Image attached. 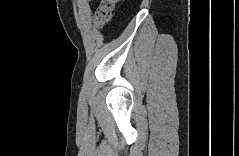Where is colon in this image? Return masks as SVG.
Segmentation results:
<instances>
[{
  "label": "colon",
  "instance_id": "obj_1",
  "mask_svg": "<svg viewBox=\"0 0 239 156\" xmlns=\"http://www.w3.org/2000/svg\"><path fill=\"white\" fill-rule=\"evenodd\" d=\"M117 2L115 0H102L96 9L97 22L100 26L109 22L116 9Z\"/></svg>",
  "mask_w": 239,
  "mask_h": 156
}]
</instances>
